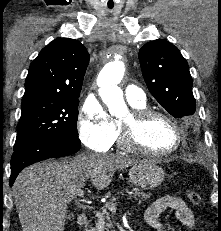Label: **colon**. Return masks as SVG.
Returning a JSON list of instances; mask_svg holds the SVG:
<instances>
[{
    "label": "colon",
    "mask_w": 221,
    "mask_h": 231,
    "mask_svg": "<svg viewBox=\"0 0 221 231\" xmlns=\"http://www.w3.org/2000/svg\"><path fill=\"white\" fill-rule=\"evenodd\" d=\"M187 197H188L189 201L195 206L200 205L202 202V198H201L200 194L194 190H188Z\"/></svg>",
    "instance_id": "obj_1"
}]
</instances>
